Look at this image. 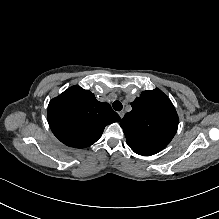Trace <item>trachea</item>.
<instances>
[{
	"label": "trachea",
	"mask_w": 219,
	"mask_h": 219,
	"mask_svg": "<svg viewBox=\"0 0 219 219\" xmlns=\"http://www.w3.org/2000/svg\"><path fill=\"white\" fill-rule=\"evenodd\" d=\"M112 106L115 111H121L123 109L122 103L118 100L114 101Z\"/></svg>",
	"instance_id": "1"
}]
</instances>
